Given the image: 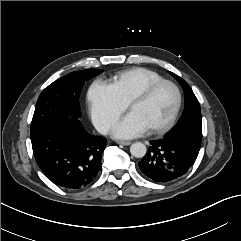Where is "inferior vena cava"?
<instances>
[{
	"mask_svg": "<svg viewBox=\"0 0 241 241\" xmlns=\"http://www.w3.org/2000/svg\"><path fill=\"white\" fill-rule=\"evenodd\" d=\"M101 132H102L103 134H106L107 128H103V129L101 130Z\"/></svg>",
	"mask_w": 241,
	"mask_h": 241,
	"instance_id": "obj_1",
	"label": "inferior vena cava"
}]
</instances>
